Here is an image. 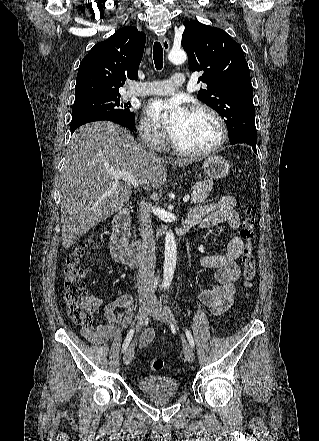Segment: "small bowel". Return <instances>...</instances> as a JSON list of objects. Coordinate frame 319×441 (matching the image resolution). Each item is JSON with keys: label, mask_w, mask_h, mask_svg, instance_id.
Listing matches in <instances>:
<instances>
[{"label": "small bowel", "mask_w": 319, "mask_h": 441, "mask_svg": "<svg viewBox=\"0 0 319 441\" xmlns=\"http://www.w3.org/2000/svg\"><path fill=\"white\" fill-rule=\"evenodd\" d=\"M236 200L231 195H226L213 203L198 206L191 210L184 223L189 229H207L221 224H227L232 231L240 228L241 221L235 211ZM243 241L237 235H231L221 254L200 256L202 267L213 269L217 282L212 288L200 293L198 301L209 308L210 312L219 316L224 314L233 304L235 282L240 277L238 258L242 254ZM96 306L103 305L100 297H93ZM122 308L125 313L121 322L118 321L116 310ZM135 309V299L131 294H123L106 303L103 307L104 321L97 326L83 327V336L93 344H103L125 332L129 326ZM154 332L145 330L138 341L140 347L151 343Z\"/></svg>", "instance_id": "1"}]
</instances>
